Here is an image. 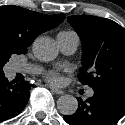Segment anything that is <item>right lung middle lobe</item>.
Instances as JSON below:
<instances>
[{"instance_id":"1","label":"right lung middle lobe","mask_w":125,"mask_h":125,"mask_svg":"<svg viewBox=\"0 0 125 125\" xmlns=\"http://www.w3.org/2000/svg\"><path fill=\"white\" fill-rule=\"evenodd\" d=\"M11 55H5L0 57V75L4 74L3 72V66L9 61V58Z\"/></svg>"}]
</instances>
